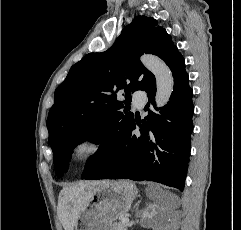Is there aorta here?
I'll return each mask as SVG.
<instances>
[{
  "label": "aorta",
  "instance_id": "1",
  "mask_svg": "<svg viewBox=\"0 0 241 230\" xmlns=\"http://www.w3.org/2000/svg\"><path fill=\"white\" fill-rule=\"evenodd\" d=\"M143 65L154 74L156 80V105L162 107L167 104L174 87V79L169 67L157 56L143 55Z\"/></svg>",
  "mask_w": 241,
  "mask_h": 230
}]
</instances>
